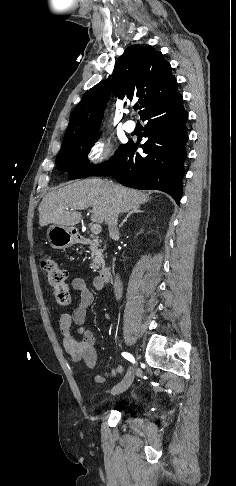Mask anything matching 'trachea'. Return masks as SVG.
I'll use <instances>...</instances> for the list:
<instances>
[{
	"label": "trachea",
	"instance_id": "3493384b",
	"mask_svg": "<svg viewBox=\"0 0 236 486\" xmlns=\"http://www.w3.org/2000/svg\"><path fill=\"white\" fill-rule=\"evenodd\" d=\"M139 109V105L134 106V110L137 111Z\"/></svg>",
	"mask_w": 236,
	"mask_h": 486
}]
</instances>
